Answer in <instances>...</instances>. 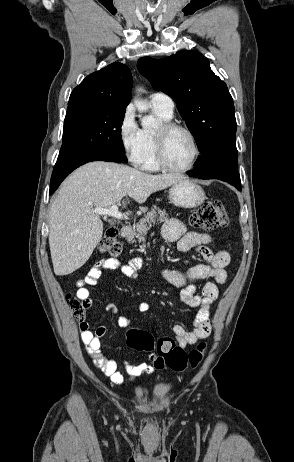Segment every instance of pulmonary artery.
Instances as JSON below:
<instances>
[{"label":"pulmonary artery","instance_id":"1","mask_svg":"<svg viewBox=\"0 0 294 462\" xmlns=\"http://www.w3.org/2000/svg\"><path fill=\"white\" fill-rule=\"evenodd\" d=\"M150 103L153 108L159 109L169 115H172L174 112V101L165 93L156 92L151 94Z\"/></svg>","mask_w":294,"mask_h":462}]
</instances>
